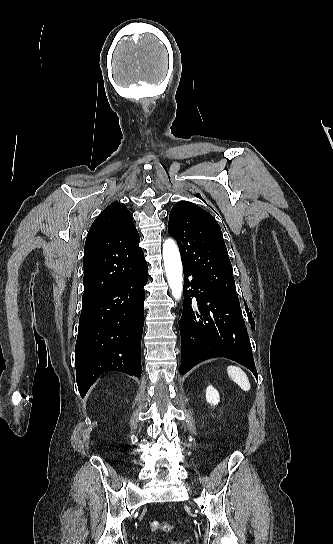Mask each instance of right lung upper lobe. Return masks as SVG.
Segmentation results:
<instances>
[{
    "label": "right lung upper lobe",
    "mask_w": 333,
    "mask_h": 544,
    "mask_svg": "<svg viewBox=\"0 0 333 544\" xmlns=\"http://www.w3.org/2000/svg\"><path fill=\"white\" fill-rule=\"evenodd\" d=\"M131 212L117 201L93 222L84 248V294L88 301L114 288L146 264Z\"/></svg>",
    "instance_id": "right-lung-upper-lobe-1"
}]
</instances>
